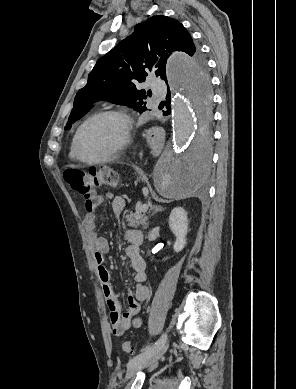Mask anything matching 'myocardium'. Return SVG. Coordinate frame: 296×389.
Segmentation results:
<instances>
[{
    "mask_svg": "<svg viewBox=\"0 0 296 389\" xmlns=\"http://www.w3.org/2000/svg\"><path fill=\"white\" fill-rule=\"evenodd\" d=\"M107 116H113L121 120L123 125V138L122 140L107 154H105L102 157L96 158V159H88L85 158L81 154L80 150V141L83 134V131L86 129V127L92 123L93 121ZM132 139V120L131 117L124 112L123 110L119 109H106L99 111L89 118H87L78 128L75 139H74V152L75 156L78 160L86 163V164H99L106 162L114 157H116L118 154H120L131 142Z\"/></svg>",
    "mask_w": 296,
    "mask_h": 389,
    "instance_id": "1",
    "label": "myocardium"
}]
</instances>
